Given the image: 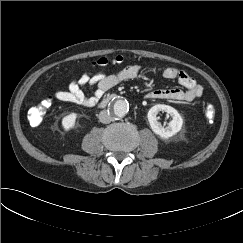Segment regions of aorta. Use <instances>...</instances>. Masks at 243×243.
<instances>
[{
    "mask_svg": "<svg viewBox=\"0 0 243 243\" xmlns=\"http://www.w3.org/2000/svg\"><path fill=\"white\" fill-rule=\"evenodd\" d=\"M129 111V103L127 100L118 99L113 104V114L116 117L122 118L124 117Z\"/></svg>",
    "mask_w": 243,
    "mask_h": 243,
    "instance_id": "762f6f07",
    "label": "aorta"
}]
</instances>
